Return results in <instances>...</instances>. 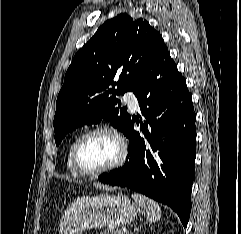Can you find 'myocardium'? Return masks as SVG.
Segmentation results:
<instances>
[{
	"mask_svg": "<svg viewBox=\"0 0 241 234\" xmlns=\"http://www.w3.org/2000/svg\"><path fill=\"white\" fill-rule=\"evenodd\" d=\"M98 133H107L116 139V141L119 144V155L112 164L98 170L89 171L84 169L80 163V150L82 145L88 138ZM127 155H128L127 143L124 137L118 131L108 126H97L88 130L78 138L73 148L72 160H73L74 168L80 175L85 177H96V176L105 174L107 172L113 171L119 168L120 166H122L127 158Z\"/></svg>",
	"mask_w": 241,
	"mask_h": 234,
	"instance_id": "obj_1",
	"label": "myocardium"
}]
</instances>
